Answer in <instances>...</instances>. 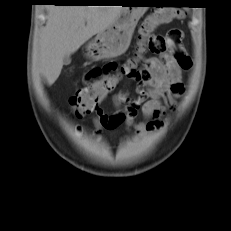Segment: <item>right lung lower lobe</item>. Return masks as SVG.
I'll return each instance as SVG.
<instances>
[{
  "label": "right lung lower lobe",
  "mask_w": 231,
  "mask_h": 231,
  "mask_svg": "<svg viewBox=\"0 0 231 231\" xmlns=\"http://www.w3.org/2000/svg\"><path fill=\"white\" fill-rule=\"evenodd\" d=\"M48 2H54L55 4H57V5H74L75 4V2L73 1V0H47Z\"/></svg>",
  "instance_id": "right-lung-lower-lobe-1"
}]
</instances>
